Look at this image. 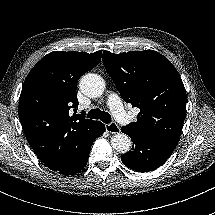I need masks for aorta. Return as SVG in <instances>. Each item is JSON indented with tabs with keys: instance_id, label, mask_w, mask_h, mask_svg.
<instances>
[{
	"instance_id": "aorta-1",
	"label": "aorta",
	"mask_w": 215,
	"mask_h": 215,
	"mask_svg": "<svg viewBox=\"0 0 215 215\" xmlns=\"http://www.w3.org/2000/svg\"><path fill=\"white\" fill-rule=\"evenodd\" d=\"M81 91L89 97H98L104 92V80L95 74L85 75L80 82ZM111 146L119 153H126L132 147L131 138L122 132L111 138Z\"/></svg>"
}]
</instances>
